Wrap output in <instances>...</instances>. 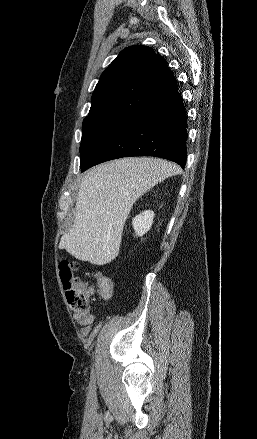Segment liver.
I'll return each instance as SVG.
<instances>
[{
	"instance_id": "1",
	"label": "liver",
	"mask_w": 257,
	"mask_h": 439,
	"mask_svg": "<svg viewBox=\"0 0 257 439\" xmlns=\"http://www.w3.org/2000/svg\"><path fill=\"white\" fill-rule=\"evenodd\" d=\"M179 173L175 164L151 157L122 158L92 168L82 178L74 223L59 247L81 261L110 263L119 254L123 227L136 200Z\"/></svg>"
}]
</instances>
